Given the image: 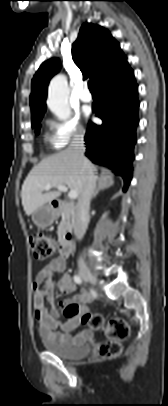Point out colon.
I'll return each instance as SVG.
<instances>
[{
    "mask_svg": "<svg viewBox=\"0 0 168 406\" xmlns=\"http://www.w3.org/2000/svg\"><path fill=\"white\" fill-rule=\"evenodd\" d=\"M29 244L36 261H44L56 252L55 239L44 233L31 234ZM64 313L67 318L79 314L74 307H67ZM81 320L91 329L102 332L107 337V340L98 346L97 355L100 358L110 359L121 353V342L129 335V326L126 321L120 318L107 319L98 312H85L81 315Z\"/></svg>",
    "mask_w": 168,
    "mask_h": 406,
    "instance_id": "5ec220e1",
    "label": "colon"
}]
</instances>
